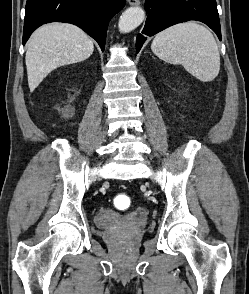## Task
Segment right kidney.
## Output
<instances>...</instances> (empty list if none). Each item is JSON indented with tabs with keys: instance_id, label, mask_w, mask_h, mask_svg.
Returning a JSON list of instances; mask_svg holds the SVG:
<instances>
[{
	"instance_id": "obj_1",
	"label": "right kidney",
	"mask_w": 249,
	"mask_h": 294,
	"mask_svg": "<svg viewBox=\"0 0 249 294\" xmlns=\"http://www.w3.org/2000/svg\"><path fill=\"white\" fill-rule=\"evenodd\" d=\"M63 114L66 116V117H71L73 116L74 114V108L71 107V106H65L64 109H63Z\"/></svg>"
}]
</instances>
